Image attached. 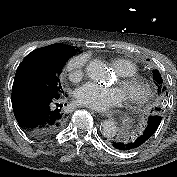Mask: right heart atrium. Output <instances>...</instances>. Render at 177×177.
I'll return each instance as SVG.
<instances>
[{
  "instance_id": "obj_1",
  "label": "right heart atrium",
  "mask_w": 177,
  "mask_h": 177,
  "mask_svg": "<svg viewBox=\"0 0 177 177\" xmlns=\"http://www.w3.org/2000/svg\"><path fill=\"white\" fill-rule=\"evenodd\" d=\"M86 64V55H77L72 57L66 64V71L69 79L73 82L80 81L85 74Z\"/></svg>"
}]
</instances>
